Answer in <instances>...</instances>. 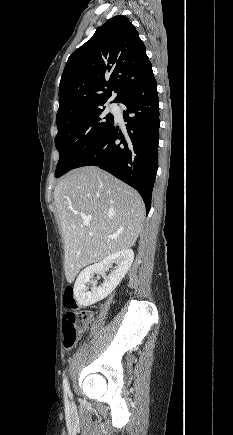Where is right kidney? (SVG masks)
I'll return each mask as SVG.
<instances>
[{
    "label": "right kidney",
    "instance_id": "1",
    "mask_svg": "<svg viewBox=\"0 0 233 435\" xmlns=\"http://www.w3.org/2000/svg\"><path fill=\"white\" fill-rule=\"evenodd\" d=\"M134 260V252L131 249H124L104 258L95 265L85 268L77 277L73 292L77 302L82 306H90L106 298L121 282L129 271ZM116 267L104 278V283L88 291L87 283L94 273H104L112 264Z\"/></svg>",
    "mask_w": 233,
    "mask_h": 435
}]
</instances>
